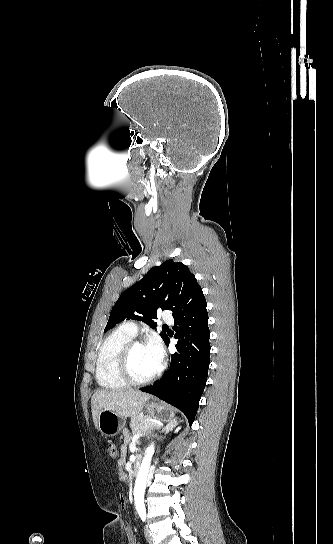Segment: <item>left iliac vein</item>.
<instances>
[{
    "instance_id": "4c4485c4",
    "label": "left iliac vein",
    "mask_w": 333,
    "mask_h": 544,
    "mask_svg": "<svg viewBox=\"0 0 333 544\" xmlns=\"http://www.w3.org/2000/svg\"><path fill=\"white\" fill-rule=\"evenodd\" d=\"M145 536L149 544H154L152 533L147 527H145Z\"/></svg>"
}]
</instances>
